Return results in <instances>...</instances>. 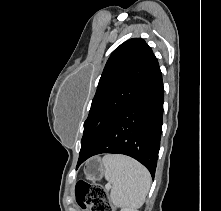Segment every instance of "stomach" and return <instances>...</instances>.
<instances>
[{"mask_svg":"<svg viewBox=\"0 0 221 211\" xmlns=\"http://www.w3.org/2000/svg\"><path fill=\"white\" fill-rule=\"evenodd\" d=\"M104 165L100 158H92L89 160L84 168V174L87 179L91 181H98L104 175Z\"/></svg>","mask_w":221,"mask_h":211,"instance_id":"stomach-1","label":"stomach"}]
</instances>
